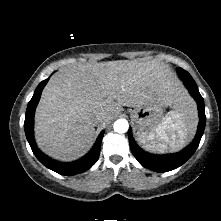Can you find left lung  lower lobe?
Segmentation results:
<instances>
[{
	"instance_id": "obj_1",
	"label": "left lung lower lobe",
	"mask_w": 221,
	"mask_h": 221,
	"mask_svg": "<svg viewBox=\"0 0 221 221\" xmlns=\"http://www.w3.org/2000/svg\"><path fill=\"white\" fill-rule=\"evenodd\" d=\"M178 74L180 78L184 81L186 88L189 90L190 94L193 96L198 104V114L200 120L194 141L178 153L167 155H153L143 151L135 143L131 134V129H129L128 131V139L133 155L143 167H146L155 172H167L183 165L196 151L205 129V106L204 100L198 91V87L194 80L189 79L187 76L181 77L183 75L182 69L178 71Z\"/></svg>"
}]
</instances>
